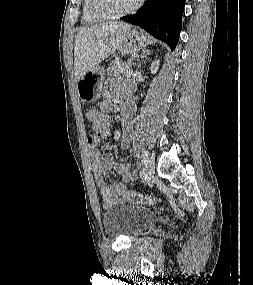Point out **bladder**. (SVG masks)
<instances>
[{
	"mask_svg": "<svg viewBox=\"0 0 253 285\" xmlns=\"http://www.w3.org/2000/svg\"><path fill=\"white\" fill-rule=\"evenodd\" d=\"M157 220L156 212L149 208L122 204L107 209L102 217L106 234L113 237H133Z\"/></svg>",
	"mask_w": 253,
	"mask_h": 285,
	"instance_id": "31cf9c89",
	"label": "bladder"
}]
</instances>
